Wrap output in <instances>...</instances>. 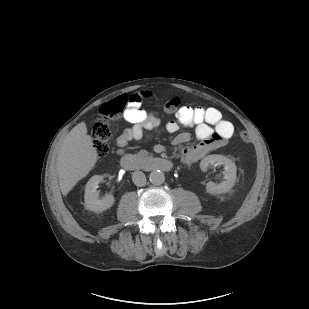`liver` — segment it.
Returning <instances> with one entry per match:
<instances>
[{
  "instance_id": "6515ba94",
  "label": "liver",
  "mask_w": 309,
  "mask_h": 309,
  "mask_svg": "<svg viewBox=\"0 0 309 309\" xmlns=\"http://www.w3.org/2000/svg\"><path fill=\"white\" fill-rule=\"evenodd\" d=\"M97 160L98 154L92 138L87 135L86 123L81 122L68 133L57 154L56 169L64 196L88 175Z\"/></svg>"
}]
</instances>
